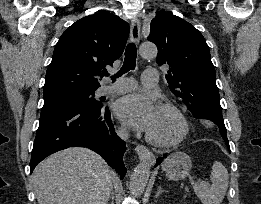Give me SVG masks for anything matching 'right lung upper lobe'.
Here are the masks:
<instances>
[{
    "mask_svg": "<svg viewBox=\"0 0 261 204\" xmlns=\"http://www.w3.org/2000/svg\"><path fill=\"white\" fill-rule=\"evenodd\" d=\"M129 29L127 22L110 12L89 15L72 24L55 46L43 94L100 87L101 70L122 55Z\"/></svg>",
    "mask_w": 261,
    "mask_h": 204,
    "instance_id": "cb5924a9",
    "label": "right lung upper lobe"
}]
</instances>
